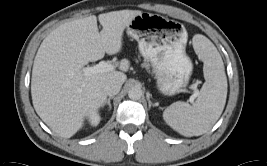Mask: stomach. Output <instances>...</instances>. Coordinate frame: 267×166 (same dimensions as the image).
<instances>
[{
	"instance_id": "1",
	"label": "stomach",
	"mask_w": 267,
	"mask_h": 166,
	"mask_svg": "<svg viewBox=\"0 0 267 166\" xmlns=\"http://www.w3.org/2000/svg\"><path fill=\"white\" fill-rule=\"evenodd\" d=\"M127 33L150 62L162 94L175 95L187 86L193 64L185 51L188 34L180 22L142 12L127 26Z\"/></svg>"
}]
</instances>
